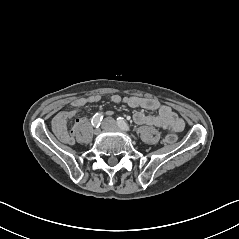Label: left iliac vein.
<instances>
[{"label":"left iliac vein","instance_id":"4c4485c4","mask_svg":"<svg viewBox=\"0 0 239 239\" xmlns=\"http://www.w3.org/2000/svg\"><path fill=\"white\" fill-rule=\"evenodd\" d=\"M105 121L110 124V128H116L117 127L116 122L112 118H107Z\"/></svg>","mask_w":239,"mask_h":239}]
</instances>
